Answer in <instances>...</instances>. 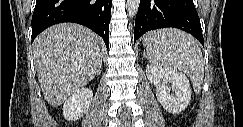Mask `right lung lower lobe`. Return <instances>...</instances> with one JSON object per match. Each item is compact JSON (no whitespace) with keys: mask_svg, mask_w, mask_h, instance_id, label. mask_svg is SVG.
<instances>
[{"mask_svg":"<svg viewBox=\"0 0 243 127\" xmlns=\"http://www.w3.org/2000/svg\"><path fill=\"white\" fill-rule=\"evenodd\" d=\"M112 0H37L32 16V41L62 22L82 24L100 35L108 48Z\"/></svg>","mask_w":243,"mask_h":127,"instance_id":"98d812e1","label":"right lung lower lobe"}]
</instances>
